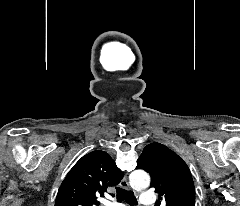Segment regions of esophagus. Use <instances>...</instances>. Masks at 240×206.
I'll list each match as a JSON object with an SVG mask.
<instances>
[{"label":"esophagus","mask_w":240,"mask_h":206,"mask_svg":"<svg viewBox=\"0 0 240 206\" xmlns=\"http://www.w3.org/2000/svg\"><path fill=\"white\" fill-rule=\"evenodd\" d=\"M120 186L126 190H130V186H129V183H128V180L126 177H124L121 182H120Z\"/></svg>","instance_id":"1"}]
</instances>
